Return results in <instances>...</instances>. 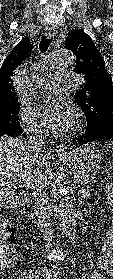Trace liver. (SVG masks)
<instances>
[{
    "label": "liver",
    "mask_w": 113,
    "mask_h": 279,
    "mask_svg": "<svg viewBox=\"0 0 113 279\" xmlns=\"http://www.w3.org/2000/svg\"><path fill=\"white\" fill-rule=\"evenodd\" d=\"M44 165L41 157L34 154L26 142L0 136V208L15 198L18 182L25 187L32 186L36 173H44Z\"/></svg>",
    "instance_id": "6515ba94"
}]
</instances>
